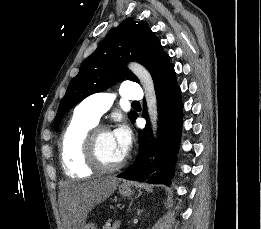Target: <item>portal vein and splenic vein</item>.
Instances as JSON below:
<instances>
[{"mask_svg": "<svg viewBox=\"0 0 261 229\" xmlns=\"http://www.w3.org/2000/svg\"><path fill=\"white\" fill-rule=\"evenodd\" d=\"M122 222H123V219H122V218H119L118 220H115V221H114V224H113V227H114L115 229H118L119 225H121Z\"/></svg>", "mask_w": 261, "mask_h": 229, "instance_id": "portal-vein-and-splenic-vein-1", "label": "portal vein and splenic vein"}]
</instances>
